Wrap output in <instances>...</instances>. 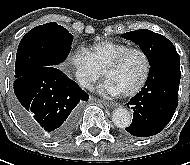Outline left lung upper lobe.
Wrapping results in <instances>:
<instances>
[{
  "label": "left lung upper lobe",
  "instance_id": "5c2ea615",
  "mask_svg": "<svg viewBox=\"0 0 190 165\" xmlns=\"http://www.w3.org/2000/svg\"><path fill=\"white\" fill-rule=\"evenodd\" d=\"M122 37L139 45L150 65L163 58L178 55L174 45L166 37L150 30H135L122 34Z\"/></svg>",
  "mask_w": 190,
  "mask_h": 165
}]
</instances>
